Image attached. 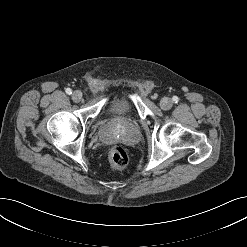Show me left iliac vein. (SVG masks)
Returning <instances> with one entry per match:
<instances>
[{
    "mask_svg": "<svg viewBox=\"0 0 247 247\" xmlns=\"http://www.w3.org/2000/svg\"><path fill=\"white\" fill-rule=\"evenodd\" d=\"M172 106H173V101L170 98H163L160 101V107L163 110H169V109H171Z\"/></svg>",
    "mask_w": 247,
    "mask_h": 247,
    "instance_id": "1",
    "label": "left iliac vein"
}]
</instances>
